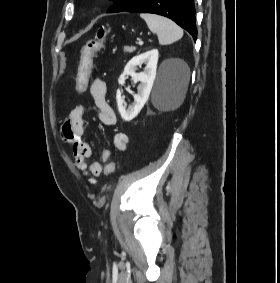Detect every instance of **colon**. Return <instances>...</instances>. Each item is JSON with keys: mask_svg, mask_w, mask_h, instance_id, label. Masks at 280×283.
Instances as JSON below:
<instances>
[{"mask_svg": "<svg viewBox=\"0 0 280 283\" xmlns=\"http://www.w3.org/2000/svg\"><path fill=\"white\" fill-rule=\"evenodd\" d=\"M108 30L107 27H100L97 30L95 38L89 40L83 47L80 56V70L79 73H77V80L74 84V89L76 90H73V95H86V92H88V82L90 75H92V70H88V68L91 66L95 54L103 48L104 39ZM114 169V162H109L107 164L108 175H111Z\"/></svg>", "mask_w": 280, "mask_h": 283, "instance_id": "1", "label": "colon"}]
</instances>
